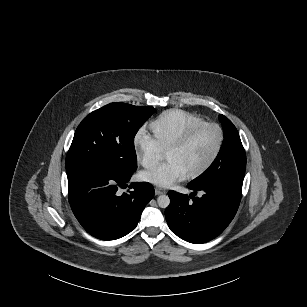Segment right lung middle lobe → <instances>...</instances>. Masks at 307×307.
<instances>
[{"label": "right lung middle lobe", "mask_w": 307, "mask_h": 307, "mask_svg": "<svg viewBox=\"0 0 307 307\" xmlns=\"http://www.w3.org/2000/svg\"><path fill=\"white\" fill-rule=\"evenodd\" d=\"M154 108L110 103L87 115L76 129L66 156V172L105 168L133 174L134 137Z\"/></svg>", "instance_id": "right-lung-middle-lobe-1"}]
</instances>
